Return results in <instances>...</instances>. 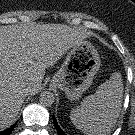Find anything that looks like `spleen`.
Wrapping results in <instances>:
<instances>
[{
  "label": "spleen",
  "instance_id": "spleen-1",
  "mask_svg": "<svg viewBox=\"0 0 135 135\" xmlns=\"http://www.w3.org/2000/svg\"><path fill=\"white\" fill-rule=\"evenodd\" d=\"M123 82L120 73H114L96 92L87 96L80 106L72 109L70 119L86 135H107L119 116Z\"/></svg>",
  "mask_w": 135,
  "mask_h": 135
}]
</instances>
